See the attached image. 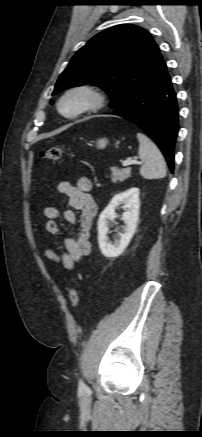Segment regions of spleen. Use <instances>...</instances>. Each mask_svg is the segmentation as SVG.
Here are the masks:
<instances>
[{
	"label": "spleen",
	"instance_id": "spleen-1",
	"mask_svg": "<svg viewBox=\"0 0 202 437\" xmlns=\"http://www.w3.org/2000/svg\"><path fill=\"white\" fill-rule=\"evenodd\" d=\"M139 140L138 155L144 164L140 174L146 179H160L166 176V162L158 147L144 134L137 133Z\"/></svg>",
	"mask_w": 202,
	"mask_h": 437
}]
</instances>
